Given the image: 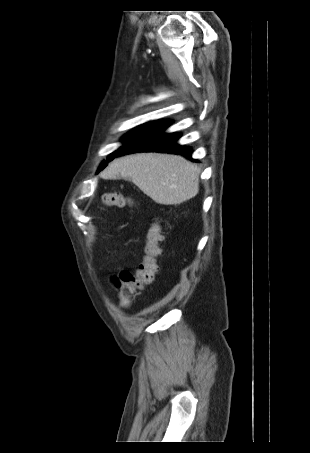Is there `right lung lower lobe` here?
Here are the masks:
<instances>
[{"label":"right lung lower lobe","mask_w":310,"mask_h":453,"mask_svg":"<svg viewBox=\"0 0 310 453\" xmlns=\"http://www.w3.org/2000/svg\"><path fill=\"white\" fill-rule=\"evenodd\" d=\"M171 123V121L167 120H157L153 122L137 138L130 142L117 156L141 151H158L180 154L191 159L192 148L177 144L180 134L163 132L170 126Z\"/></svg>","instance_id":"1"}]
</instances>
